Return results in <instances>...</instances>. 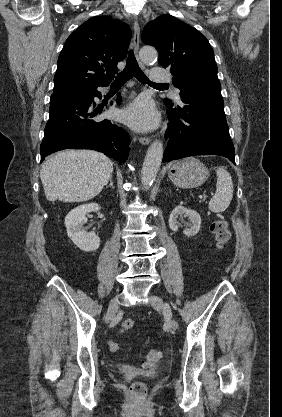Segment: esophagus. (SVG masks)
Here are the masks:
<instances>
[{"label": "esophagus", "instance_id": "esophagus-1", "mask_svg": "<svg viewBox=\"0 0 282 417\" xmlns=\"http://www.w3.org/2000/svg\"><path fill=\"white\" fill-rule=\"evenodd\" d=\"M134 34H133V47H134V53L138 57V51H139V37H140V27L137 21L134 22ZM151 139L149 137H139V142L142 145H148L150 143Z\"/></svg>", "mask_w": 282, "mask_h": 417}]
</instances>
